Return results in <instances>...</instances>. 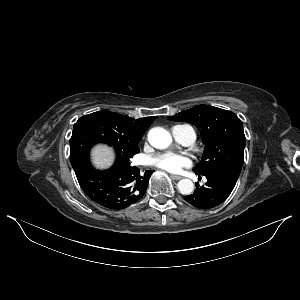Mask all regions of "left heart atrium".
Instances as JSON below:
<instances>
[{
  "label": "left heart atrium",
  "instance_id": "left-heart-atrium-1",
  "mask_svg": "<svg viewBox=\"0 0 300 300\" xmlns=\"http://www.w3.org/2000/svg\"><path fill=\"white\" fill-rule=\"evenodd\" d=\"M153 166L171 173L180 172L184 167L191 165L187 155L166 152L154 156L151 160Z\"/></svg>",
  "mask_w": 300,
  "mask_h": 300
}]
</instances>
